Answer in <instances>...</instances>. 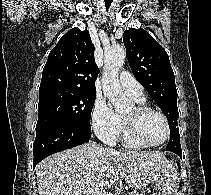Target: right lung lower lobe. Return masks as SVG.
<instances>
[{"label":"right lung lower lobe","instance_id":"right-lung-lower-lobe-1","mask_svg":"<svg viewBox=\"0 0 211 195\" xmlns=\"http://www.w3.org/2000/svg\"><path fill=\"white\" fill-rule=\"evenodd\" d=\"M90 137L91 129L79 126L52 125L37 131L33 167L49 155L81 145Z\"/></svg>","mask_w":211,"mask_h":195}]
</instances>
